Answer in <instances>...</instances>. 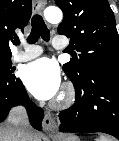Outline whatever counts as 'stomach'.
<instances>
[{"instance_id":"0dacf381","label":"stomach","mask_w":119,"mask_h":141,"mask_svg":"<svg viewBox=\"0 0 119 141\" xmlns=\"http://www.w3.org/2000/svg\"><path fill=\"white\" fill-rule=\"evenodd\" d=\"M58 141H80V139L74 135H64L61 136Z\"/></svg>"}]
</instances>
